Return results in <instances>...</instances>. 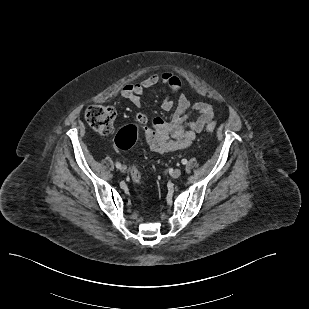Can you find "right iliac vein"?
<instances>
[{
	"label": "right iliac vein",
	"mask_w": 309,
	"mask_h": 309,
	"mask_svg": "<svg viewBox=\"0 0 309 309\" xmlns=\"http://www.w3.org/2000/svg\"><path fill=\"white\" fill-rule=\"evenodd\" d=\"M120 171L125 173L127 171V167L125 165L121 166Z\"/></svg>",
	"instance_id": "right-iliac-vein-1"
}]
</instances>
